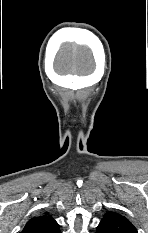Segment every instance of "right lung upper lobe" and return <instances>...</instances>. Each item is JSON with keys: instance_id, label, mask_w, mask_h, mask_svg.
Segmentation results:
<instances>
[{"instance_id": "1", "label": "right lung upper lobe", "mask_w": 148, "mask_h": 233, "mask_svg": "<svg viewBox=\"0 0 148 233\" xmlns=\"http://www.w3.org/2000/svg\"><path fill=\"white\" fill-rule=\"evenodd\" d=\"M21 233H60L59 224L47 214L30 219Z\"/></svg>"}]
</instances>
